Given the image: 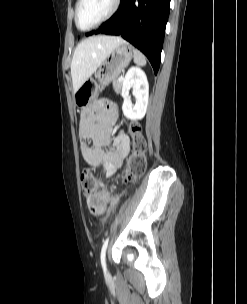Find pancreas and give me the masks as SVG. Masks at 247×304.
Listing matches in <instances>:
<instances>
[{
    "instance_id": "1",
    "label": "pancreas",
    "mask_w": 247,
    "mask_h": 304,
    "mask_svg": "<svg viewBox=\"0 0 247 304\" xmlns=\"http://www.w3.org/2000/svg\"><path fill=\"white\" fill-rule=\"evenodd\" d=\"M122 81H113V88L116 93H120Z\"/></svg>"
}]
</instances>
